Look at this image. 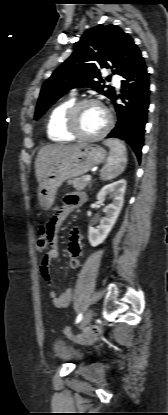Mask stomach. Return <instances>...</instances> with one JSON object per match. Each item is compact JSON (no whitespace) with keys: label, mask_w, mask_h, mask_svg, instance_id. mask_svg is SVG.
Masks as SVG:
<instances>
[{"label":"stomach","mask_w":168,"mask_h":415,"mask_svg":"<svg viewBox=\"0 0 168 415\" xmlns=\"http://www.w3.org/2000/svg\"><path fill=\"white\" fill-rule=\"evenodd\" d=\"M106 151L95 144L85 143L71 155L54 163L39 183L40 206L52 207L58 188L66 180L81 176L105 160Z\"/></svg>","instance_id":"0dacf381"}]
</instances>
